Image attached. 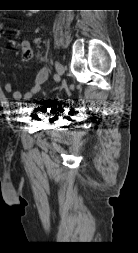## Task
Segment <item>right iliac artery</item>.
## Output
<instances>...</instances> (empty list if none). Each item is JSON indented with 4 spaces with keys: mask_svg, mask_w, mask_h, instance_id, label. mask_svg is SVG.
<instances>
[{
    "mask_svg": "<svg viewBox=\"0 0 138 253\" xmlns=\"http://www.w3.org/2000/svg\"><path fill=\"white\" fill-rule=\"evenodd\" d=\"M54 79H55L56 81H58V80H59V76H58V75H55V76H54Z\"/></svg>",
    "mask_w": 138,
    "mask_h": 253,
    "instance_id": "1",
    "label": "right iliac artery"
}]
</instances>
